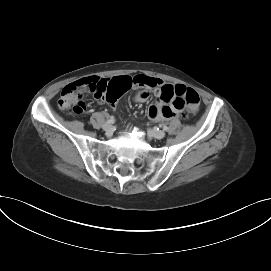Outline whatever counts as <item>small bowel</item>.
Here are the masks:
<instances>
[{
	"label": "small bowel",
	"mask_w": 271,
	"mask_h": 271,
	"mask_svg": "<svg viewBox=\"0 0 271 271\" xmlns=\"http://www.w3.org/2000/svg\"><path fill=\"white\" fill-rule=\"evenodd\" d=\"M84 80L91 81L89 84L90 93L108 104L119 102L123 94L131 93L137 87H141L142 91L134 97V100L138 103H143L149 99V92L153 90L159 101L150 105L147 109V114L152 120H169L183 114L184 106L178 105L175 97L165 99L163 90L164 88L174 90L178 86L186 88L184 85L166 84L158 78L146 75L135 76L132 73H125L121 76H113L107 79L91 77ZM85 91L89 92L88 90Z\"/></svg>",
	"instance_id": "obj_1"
}]
</instances>
